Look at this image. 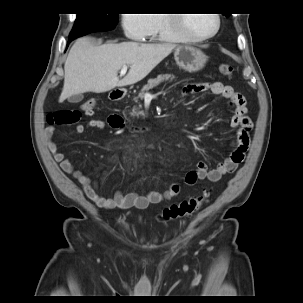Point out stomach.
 I'll list each match as a JSON object with an SVG mask.
<instances>
[{
	"label": "stomach",
	"instance_id": "stomach-1",
	"mask_svg": "<svg viewBox=\"0 0 303 303\" xmlns=\"http://www.w3.org/2000/svg\"><path fill=\"white\" fill-rule=\"evenodd\" d=\"M174 58L177 65L188 72L201 70L208 60L200 49L187 45L178 46L175 49Z\"/></svg>",
	"mask_w": 303,
	"mask_h": 303
}]
</instances>
